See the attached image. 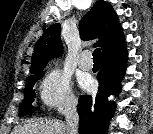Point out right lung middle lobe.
<instances>
[{
  "mask_svg": "<svg viewBox=\"0 0 153 134\" xmlns=\"http://www.w3.org/2000/svg\"><path fill=\"white\" fill-rule=\"evenodd\" d=\"M43 76V72L35 73V75L27 78V83L25 87V99L23 100L19 116L28 115L34 112L35 108L31 106V102L35 97V91L33 87L38 79Z\"/></svg>",
  "mask_w": 153,
  "mask_h": 134,
  "instance_id": "dd1d6c3e",
  "label": "right lung middle lobe"
}]
</instances>
